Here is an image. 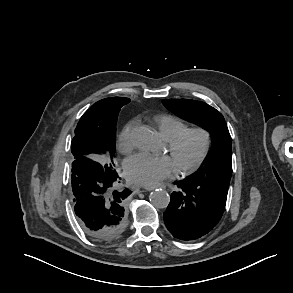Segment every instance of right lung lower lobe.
Here are the masks:
<instances>
[{"mask_svg":"<svg viewBox=\"0 0 293 293\" xmlns=\"http://www.w3.org/2000/svg\"><path fill=\"white\" fill-rule=\"evenodd\" d=\"M74 210L82 229L92 238L109 242L122 235L126 228L128 189L119 188L115 169L79 158L72 163Z\"/></svg>","mask_w":293,"mask_h":293,"instance_id":"98d812e1","label":"right lung lower lobe"}]
</instances>
